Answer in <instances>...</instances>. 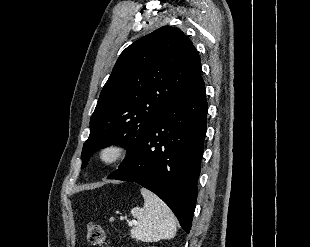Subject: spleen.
I'll use <instances>...</instances> for the list:
<instances>
[{
    "label": "spleen",
    "mask_w": 310,
    "mask_h": 247,
    "mask_svg": "<svg viewBox=\"0 0 310 247\" xmlns=\"http://www.w3.org/2000/svg\"><path fill=\"white\" fill-rule=\"evenodd\" d=\"M144 206L134 207L131 214L137 224L131 229V237L143 242L171 239L176 234L175 216L170 208L154 193L142 188Z\"/></svg>",
    "instance_id": "1"
}]
</instances>
